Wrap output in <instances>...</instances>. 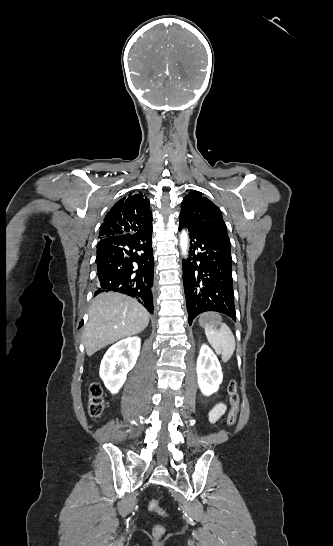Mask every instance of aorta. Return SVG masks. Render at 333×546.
<instances>
[{
    "instance_id": "762f6f07",
    "label": "aorta",
    "mask_w": 333,
    "mask_h": 546,
    "mask_svg": "<svg viewBox=\"0 0 333 546\" xmlns=\"http://www.w3.org/2000/svg\"><path fill=\"white\" fill-rule=\"evenodd\" d=\"M180 247L182 249V254L186 256L188 249V235L185 231H182L180 235Z\"/></svg>"
}]
</instances>
